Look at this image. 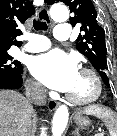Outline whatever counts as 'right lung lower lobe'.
Listing matches in <instances>:
<instances>
[{
  "label": "right lung lower lobe",
  "mask_w": 117,
  "mask_h": 136,
  "mask_svg": "<svg viewBox=\"0 0 117 136\" xmlns=\"http://www.w3.org/2000/svg\"><path fill=\"white\" fill-rule=\"evenodd\" d=\"M23 70L18 73H0V89H19L22 87Z\"/></svg>",
  "instance_id": "obj_1"
}]
</instances>
